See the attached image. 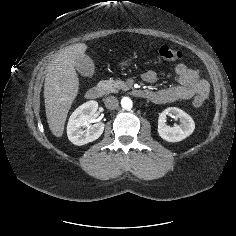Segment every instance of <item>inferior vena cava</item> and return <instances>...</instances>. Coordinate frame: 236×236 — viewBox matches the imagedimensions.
Here are the masks:
<instances>
[{
	"label": "inferior vena cava",
	"mask_w": 236,
	"mask_h": 236,
	"mask_svg": "<svg viewBox=\"0 0 236 236\" xmlns=\"http://www.w3.org/2000/svg\"><path fill=\"white\" fill-rule=\"evenodd\" d=\"M104 103L105 107L110 110L116 109L119 106V101L115 96H108Z\"/></svg>",
	"instance_id": "602c4592"
}]
</instances>
